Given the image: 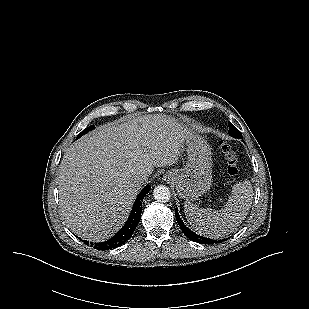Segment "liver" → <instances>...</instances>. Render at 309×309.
Masks as SVG:
<instances>
[{
  "mask_svg": "<svg viewBox=\"0 0 309 309\" xmlns=\"http://www.w3.org/2000/svg\"><path fill=\"white\" fill-rule=\"evenodd\" d=\"M186 130L166 115L101 126L64 154L57 177L60 213L70 230L93 242L110 238L126 221L154 167L178 161ZM147 182V181H146Z\"/></svg>",
  "mask_w": 309,
  "mask_h": 309,
  "instance_id": "6515ba94",
  "label": "liver"
}]
</instances>
